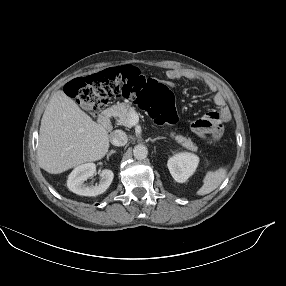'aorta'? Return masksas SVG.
I'll return each instance as SVG.
<instances>
[{"instance_id": "aorta-1", "label": "aorta", "mask_w": 286, "mask_h": 286, "mask_svg": "<svg viewBox=\"0 0 286 286\" xmlns=\"http://www.w3.org/2000/svg\"><path fill=\"white\" fill-rule=\"evenodd\" d=\"M133 155L138 160L145 159L148 155V149L145 145H136L133 149Z\"/></svg>"}]
</instances>
